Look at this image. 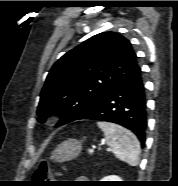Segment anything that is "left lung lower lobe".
<instances>
[{
	"label": "left lung lower lobe",
	"mask_w": 178,
	"mask_h": 186,
	"mask_svg": "<svg viewBox=\"0 0 178 186\" xmlns=\"http://www.w3.org/2000/svg\"><path fill=\"white\" fill-rule=\"evenodd\" d=\"M81 119L107 121L124 126L130 129L144 145L147 111L140 67L74 120Z\"/></svg>",
	"instance_id": "0a47b994"
}]
</instances>
